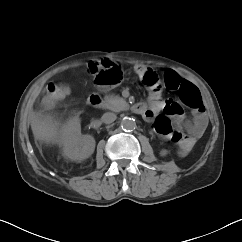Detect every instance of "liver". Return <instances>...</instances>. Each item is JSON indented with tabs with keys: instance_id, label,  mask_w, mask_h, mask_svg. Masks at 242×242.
Returning a JSON list of instances; mask_svg holds the SVG:
<instances>
[{
	"instance_id": "obj_1",
	"label": "liver",
	"mask_w": 242,
	"mask_h": 242,
	"mask_svg": "<svg viewBox=\"0 0 242 242\" xmlns=\"http://www.w3.org/2000/svg\"><path fill=\"white\" fill-rule=\"evenodd\" d=\"M59 126L60 123L49 115L33 114L31 117V129L35 140L43 141L47 144H61L62 131L59 130Z\"/></svg>"
}]
</instances>
